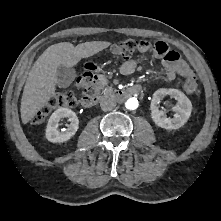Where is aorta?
Returning a JSON list of instances; mask_svg holds the SVG:
<instances>
[{
    "label": "aorta",
    "instance_id": "1",
    "mask_svg": "<svg viewBox=\"0 0 221 221\" xmlns=\"http://www.w3.org/2000/svg\"><path fill=\"white\" fill-rule=\"evenodd\" d=\"M125 106L127 109L129 110H134L138 107V100L136 98H129L126 103Z\"/></svg>",
    "mask_w": 221,
    "mask_h": 221
}]
</instances>
